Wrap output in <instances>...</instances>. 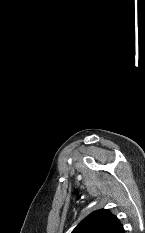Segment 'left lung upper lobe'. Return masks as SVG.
<instances>
[{"label":"left lung upper lobe","mask_w":145,"mask_h":233,"mask_svg":"<svg viewBox=\"0 0 145 233\" xmlns=\"http://www.w3.org/2000/svg\"><path fill=\"white\" fill-rule=\"evenodd\" d=\"M72 233H125L119 219L107 209L92 212Z\"/></svg>","instance_id":"left-lung-upper-lobe-1"}]
</instances>
